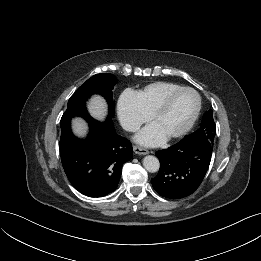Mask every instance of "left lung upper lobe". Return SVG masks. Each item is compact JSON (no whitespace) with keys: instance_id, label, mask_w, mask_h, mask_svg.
<instances>
[{"instance_id":"obj_1","label":"left lung upper lobe","mask_w":261,"mask_h":261,"mask_svg":"<svg viewBox=\"0 0 261 261\" xmlns=\"http://www.w3.org/2000/svg\"><path fill=\"white\" fill-rule=\"evenodd\" d=\"M215 134H216V125L213 120V112L212 110H209L204 113L200 128L194 133L187 135L186 137L203 138L209 141L213 146Z\"/></svg>"}]
</instances>
